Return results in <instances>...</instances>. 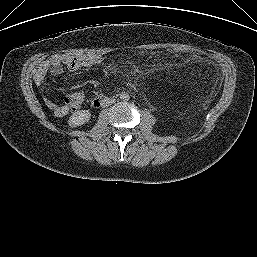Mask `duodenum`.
I'll return each instance as SVG.
<instances>
[{
  "instance_id": "duodenum-1",
  "label": "duodenum",
  "mask_w": 257,
  "mask_h": 257,
  "mask_svg": "<svg viewBox=\"0 0 257 257\" xmlns=\"http://www.w3.org/2000/svg\"><path fill=\"white\" fill-rule=\"evenodd\" d=\"M111 101V98L106 95H98L92 102L94 108H99L104 104H107Z\"/></svg>"
}]
</instances>
